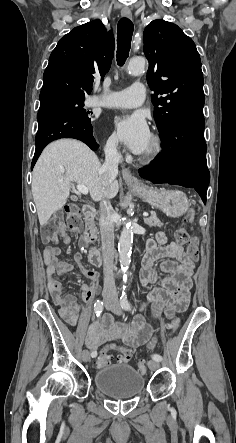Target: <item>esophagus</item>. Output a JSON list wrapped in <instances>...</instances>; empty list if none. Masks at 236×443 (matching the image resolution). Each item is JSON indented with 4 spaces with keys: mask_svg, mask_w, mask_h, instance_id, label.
I'll list each match as a JSON object with an SVG mask.
<instances>
[{
    "mask_svg": "<svg viewBox=\"0 0 236 443\" xmlns=\"http://www.w3.org/2000/svg\"><path fill=\"white\" fill-rule=\"evenodd\" d=\"M121 15H122V17H126L129 19L132 18V13L129 8H122ZM122 176H123V179L125 180V182H127V183L136 184V185L141 184V182L136 177H134L131 174L130 170L127 168L122 169Z\"/></svg>",
    "mask_w": 236,
    "mask_h": 443,
    "instance_id": "1",
    "label": "esophagus"
}]
</instances>
